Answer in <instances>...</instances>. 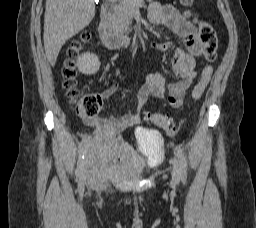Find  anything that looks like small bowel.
Segmentation results:
<instances>
[{
  "label": "small bowel",
  "instance_id": "1",
  "mask_svg": "<svg viewBox=\"0 0 256 228\" xmlns=\"http://www.w3.org/2000/svg\"><path fill=\"white\" fill-rule=\"evenodd\" d=\"M149 19L153 24L165 25L183 40L186 51L177 49L172 57L173 71L180 80L171 83L167 89L165 79L160 73L149 72L144 83L136 89L137 113L127 112L120 118L95 117L85 119L89 126L95 127L100 132L118 133L138 125L141 122L140 111L149 96L164 100L173 108H179L183 103L186 91L197 76L196 59L202 55L203 44L199 39L197 20L192 16V13L187 10H179L172 5L153 3L150 6ZM170 47V42H154L152 44V48L157 51H166ZM116 74L118 75L119 71H116ZM117 89V85H111L102 92V98H110Z\"/></svg>",
  "mask_w": 256,
  "mask_h": 228
}]
</instances>
